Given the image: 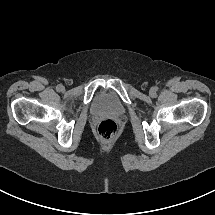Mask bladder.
Segmentation results:
<instances>
[{
  "instance_id": "31cf9c89",
  "label": "bladder",
  "mask_w": 215,
  "mask_h": 215,
  "mask_svg": "<svg viewBox=\"0 0 215 215\" xmlns=\"http://www.w3.org/2000/svg\"><path fill=\"white\" fill-rule=\"evenodd\" d=\"M91 109L95 114L121 116L126 108L121 100L112 92L101 91L92 100Z\"/></svg>"
}]
</instances>
